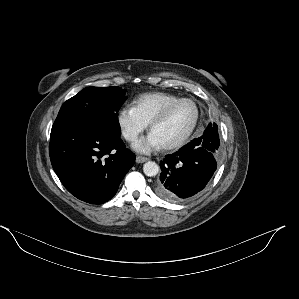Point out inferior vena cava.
Returning <instances> with one entry per match:
<instances>
[{"instance_id": "obj_1", "label": "inferior vena cava", "mask_w": 299, "mask_h": 299, "mask_svg": "<svg viewBox=\"0 0 299 299\" xmlns=\"http://www.w3.org/2000/svg\"><path fill=\"white\" fill-rule=\"evenodd\" d=\"M125 137H126V139H128V140H133V139H134V137L131 136V135H127V136H125Z\"/></svg>"}]
</instances>
